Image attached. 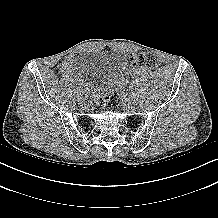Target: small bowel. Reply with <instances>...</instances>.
Instances as JSON below:
<instances>
[{
  "label": "small bowel",
  "instance_id": "1",
  "mask_svg": "<svg viewBox=\"0 0 218 218\" xmlns=\"http://www.w3.org/2000/svg\"><path fill=\"white\" fill-rule=\"evenodd\" d=\"M61 73L72 75L74 73V58L73 56H66L58 65Z\"/></svg>",
  "mask_w": 218,
  "mask_h": 218
}]
</instances>
